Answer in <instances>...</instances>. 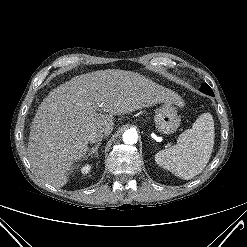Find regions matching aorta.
Segmentation results:
<instances>
[{
	"label": "aorta",
	"mask_w": 247,
	"mask_h": 247,
	"mask_svg": "<svg viewBox=\"0 0 247 247\" xmlns=\"http://www.w3.org/2000/svg\"><path fill=\"white\" fill-rule=\"evenodd\" d=\"M138 140V134L136 130L128 129L123 133V141L125 144L132 145Z\"/></svg>",
	"instance_id": "762f6f07"
}]
</instances>
